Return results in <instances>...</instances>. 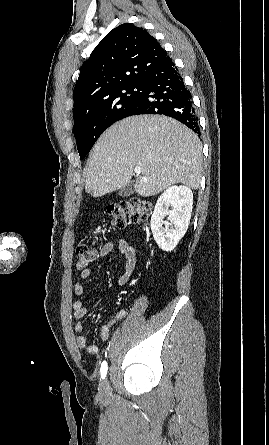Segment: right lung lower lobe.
Wrapping results in <instances>:
<instances>
[{
	"label": "right lung lower lobe",
	"mask_w": 269,
	"mask_h": 445,
	"mask_svg": "<svg viewBox=\"0 0 269 445\" xmlns=\"http://www.w3.org/2000/svg\"><path fill=\"white\" fill-rule=\"evenodd\" d=\"M142 84L143 95L128 116L166 115L175 118L200 135L192 95L172 59L154 69Z\"/></svg>",
	"instance_id": "98d812e1"
}]
</instances>
